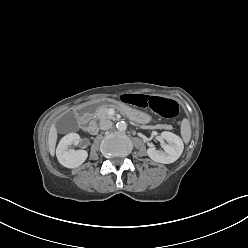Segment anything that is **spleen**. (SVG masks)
Returning <instances> with one entry per match:
<instances>
[{
    "label": "spleen",
    "mask_w": 248,
    "mask_h": 248,
    "mask_svg": "<svg viewBox=\"0 0 248 248\" xmlns=\"http://www.w3.org/2000/svg\"><path fill=\"white\" fill-rule=\"evenodd\" d=\"M181 136L185 143H188L191 139V126L188 119H183L181 122Z\"/></svg>",
    "instance_id": "3e777b00"
}]
</instances>
